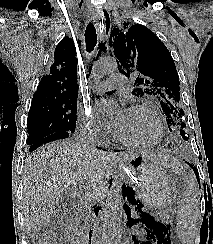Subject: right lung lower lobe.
I'll use <instances>...</instances> for the list:
<instances>
[{"label": "right lung lower lobe", "instance_id": "right-lung-lower-lobe-1", "mask_svg": "<svg viewBox=\"0 0 213 244\" xmlns=\"http://www.w3.org/2000/svg\"><path fill=\"white\" fill-rule=\"evenodd\" d=\"M70 134H71L70 132H66V131L51 134V135L37 141L36 143L31 144L29 152H32L35 149H37L38 147H40L41 145L47 144L49 142L68 138L70 136Z\"/></svg>", "mask_w": 213, "mask_h": 244}]
</instances>
